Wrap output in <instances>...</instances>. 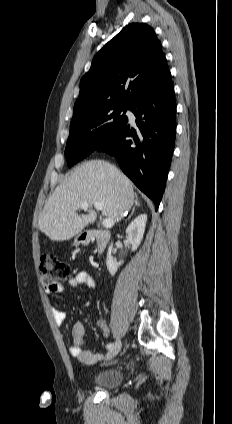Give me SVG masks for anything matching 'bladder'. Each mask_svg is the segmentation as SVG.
<instances>
[{"mask_svg": "<svg viewBox=\"0 0 232 424\" xmlns=\"http://www.w3.org/2000/svg\"><path fill=\"white\" fill-rule=\"evenodd\" d=\"M124 372L119 368H109L96 376L94 386L103 390H111L120 385Z\"/></svg>", "mask_w": 232, "mask_h": 424, "instance_id": "31cf9c89", "label": "bladder"}]
</instances>
